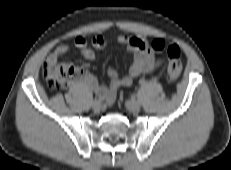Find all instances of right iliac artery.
Returning a JSON list of instances; mask_svg holds the SVG:
<instances>
[{
	"mask_svg": "<svg viewBox=\"0 0 231 170\" xmlns=\"http://www.w3.org/2000/svg\"><path fill=\"white\" fill-rule=\"evenodd\" d=\"M98 99H99V100H103L104 97H103L102 95H98Z\"/></svg>",
	"mask_w": 231,
	"mask_h": 170,
	"instance_id": "right-iliac-artery-1",
	"label": "right iliac artery"
}]
</instances>
